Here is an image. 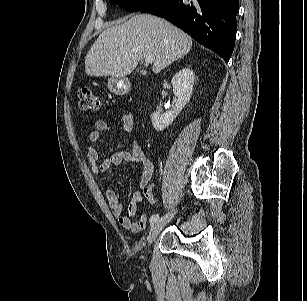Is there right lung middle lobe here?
<instances>
[{"instance_id": "1", "label": "right lung middle lobe", "mask_w": 307, "mask_h": 301, "mask_svg": "<svg viewBox=\"0 0 307 301\" xmlns=\"http://www.w3.org/2000/svg\"><path fill=\"white\" fill-rule=\"evenodd\" d=\"M157 0H109L110 3H115L125 10L135 12L155 3Z\"/></svg>"}]
</instances>
